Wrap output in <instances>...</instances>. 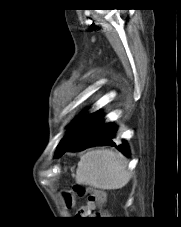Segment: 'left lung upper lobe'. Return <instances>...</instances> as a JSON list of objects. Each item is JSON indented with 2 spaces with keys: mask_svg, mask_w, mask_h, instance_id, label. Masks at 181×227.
I'll return each mask as SVG.
<instances>
[{
  "mask_svg": "<svg viewBox=\"0 0 181 227\" xmlns=\"http://www.w3.org/2000/svg\"><path fill=\"white\" fill-rule=\"evenodd\" d=\"M93 114L84 116V117H78V119L74 122V124L69 128L65 136L62 138L59 149L57 152L58 154L64 149L68 144L73 142L82 132V130L85 128L89 120L91 119Z\"/></svg>",
  "mask_w": 181,
  "mask_h": 227,
  "instance_id": "1",
  "label": "left lung upper lobe"
}]
</instances>
